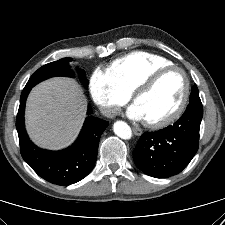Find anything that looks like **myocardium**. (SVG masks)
Wrapping results in <instances>:
<instances>
[{"mask_svg": "<svg viewBox=\"0 0 225 225\" xmlns=\"http://www.w3.org/2000/svg\"><path fill=\"white\" fill-rule=\"evenodd\" d=\"M170 71H178L181 73L183 77L184 88H183L182 98L179 104L176 106V108L165 117L158 120H154V121L145 120V125L150 128H154V129L163 128L173 123L174 121H176L184 112L188 103L189 95H190V81L186 71L177 65H169L166 67H162L154 71L153 73H151L148 77H146L139 84V86L134 90L132 94V100L133 102H135V100L138 97L148 92L163 75H165L166 73Z\"/></svg>", "mask_w": 225, "mask_h": 225, "instance_id": "1", "label": "myocardium"}]
</instances>
